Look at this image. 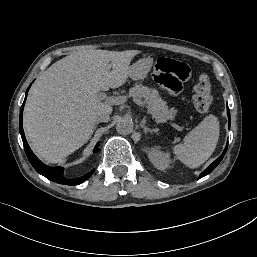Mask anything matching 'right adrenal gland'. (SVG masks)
Instances as JSON below:
<instances>
[{
    "mask_svg": "<svg viewBox=\"0 0 257 257\" xmlns=\"http://www.w3.org/2000/svg\"><path fill=\"white\" fill-rule=\"evenodd\" d=\"M98 123H96V125H97ZM96 125H95V127H94V130H95V128H96Z\"/></svg>",
    "mask_w": 257,
    "mask_h": 257,
    "instance_id": "2a0ac1e0",
    "label": "right adrenal gland"
}]
</instances>
